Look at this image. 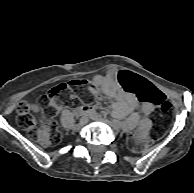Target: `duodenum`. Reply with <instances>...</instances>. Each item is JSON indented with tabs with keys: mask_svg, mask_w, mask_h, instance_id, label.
Instances as JSON below:
<instances>
[{
	"mask_svg": "<svg viewBox=\"0 0 194 193\" xmlns=\"http://www.w3.org/2000/svg\"><path fill=\"white\" fill-rule=\"evenodd\" d=\"M84 114L89 116H96V113L92 109L85 111Z\"/></svg>",
	"mask_w": 194,
	"mask_h": 193,
	"instance_id": "410a0bca",
	"label": "duodenum"
}]
</instances>
